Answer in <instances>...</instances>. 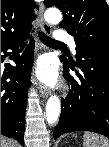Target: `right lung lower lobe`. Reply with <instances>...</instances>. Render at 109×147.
<instances>
[{
    "label": "right lung lower lobe",
    "mask_w": 109,
    "mask_h": 147,
    "mask_svg": "<svg viewBox=\"0 0 109 147\" xmlns=\"http://www.w3.org/2000/svg\"><path fill=\"white\" fill-rule=\"evenodd\" d=\"M29 36L28 33L1 44V62L8 55L7 50H17L20 43ZM32 40L21 56L14 60L16 66L5 64L1 69V134L24 144L25 109L27 92L30 87L29 73L33 62ZM17 74V75H16Z\"/></svg>",
    "instance_id": "1"
}]
</instances>
